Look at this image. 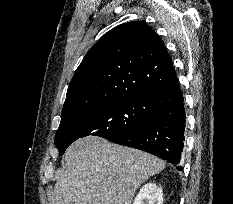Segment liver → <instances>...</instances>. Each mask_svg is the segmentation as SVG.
<instances>
[{"instance_id": "liver-1", "label": "liver", "mask_w": 233, "mask_h": 204, "mask_svg": "<svg viewBox=\"0 0 233 204\" xmlns=\"http://www.w3.org/2000/svg\"><path fill=\"white\" fill-rule=\"evenodd\" d=\"M65 162L51 204H131L139 186L165 168L154 155L96 136L70 145Z\"/></svg>"}]
</instances>
